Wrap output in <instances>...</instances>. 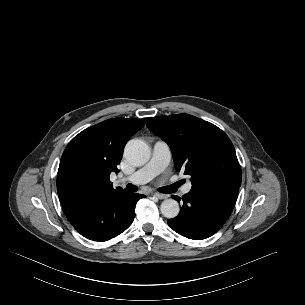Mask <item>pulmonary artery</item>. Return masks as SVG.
<instances>
[{"mask_svg": "<svg viewBox=\"0 0 305 305\" xmlns=\"http://www.w3.org/2000/svg\"><path fill=\"white\" fill-rule=\"evenodd\" d=\"M171 161V151L168 144L162 140H157L152 148L150 161L129 176L122 177L120 182H131L134 184H144L152 180L163 172ZM192 188L191 183H187L182 188L183 194H188Z\"/></svg>", "mask_w": 305, "mask_h": 305, "instance_id": "1", "label": "pulmonary artery"}]
</instances>
